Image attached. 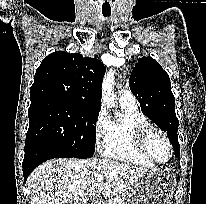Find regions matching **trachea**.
Listing matches in <instances>:
<instances>
[{
  "instance_id": "obj_1",
  "label": "trachea",
  "mask_w": 206,
  "mask_h": 204,
  "mask_svg": "<svg viewBox=\"0 0 206 204\" xmlns=\"http://www.w3.org/2000/svg\"><path fill=\"white\" fill-rule=\"evenodd\" d=\"M103 15H104L105 17L110 16V14H109V13H103Z\"/></svg>"
}]
</instances>
